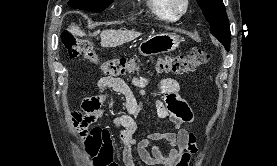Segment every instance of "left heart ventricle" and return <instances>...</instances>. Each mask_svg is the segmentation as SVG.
<instances>
[{
    "instance_id": "1",
    "label": "left heart ventricle",
    "mask_w": 277,
    "mask_h": 166,
    "mask_svg": "<svg viewBox=\"0 0 277 166\" xmlns=\"http://www.w3.org/2000/svg\"><path fill=\"white\" fill-rule=\"evenodd\" d=\"M176 5H177V7H181L182 6V2H181V0H176Z\"/></svg>"
}]
</instances>
